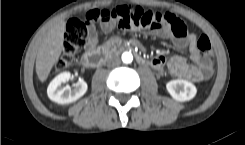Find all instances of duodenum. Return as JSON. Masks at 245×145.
Wrapping results in <instances>:
<instances>
[{
    "instance_id": "1",
    "label": "duodenum",
    "mask_w": 245,
    "mask_h": 145,
    "mask_svg": "<svg viewBox=\"0 0 245 145\" xmlns=\"http://www.w3.org/2000/svg\"><path fill=\"white\" fill-rule=\"evenodd\" d=\"M113 49L132 52L140 64H148L147 61L140 54L134 51V46L132 44H122L119 41L110 42L109 44L97 50L87 51L82 58V63L86 67L96 68L101 64L103 55L108 54Z\"/></svg>"
}]
</instances>
